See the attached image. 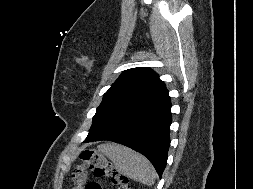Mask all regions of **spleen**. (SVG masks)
<instances>
[{
	"mask_svg": "<svg viewBox=\"0 0 253 189\" xmlns=\"http://www.w3.org/2000/svg\"><path fill=\"white\" fill-rule=\"evenodd\" d=\"M98 150L114 163L120 174L143 184H154L156 178L154 167L140 153L128 147L111 143L99 145Z\"/></svg>",
	"mask_w": 253,
	"mask_h": 189,
	"instance_id": "spleen-1",
	"label": "spleen"
}]
</instances>
